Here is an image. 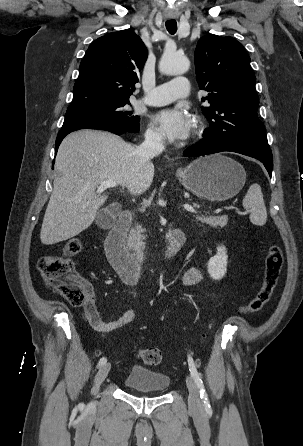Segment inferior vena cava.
<instances>
[{
    "instance_id": "602c4592",
    "label": "inferior vena cava",
    "mask_w": 303,
    "mask_h": 446,
    "mask_svg": "<svg viewBox=\"0 0 303 446\" xmlns=\"http://www.w3.org/2000/svg\"><path fill=\"white\" fill-rule=\"evenodd\" d=\"M164 150L162 138L155 133H147L145 140L136 148L141 163L150 161Z\"/></svg>"
}]
</instances>
